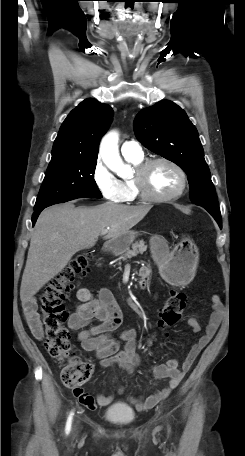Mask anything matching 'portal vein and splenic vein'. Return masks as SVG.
Returning a JSON list of instances; mask_svg holds the SVG:
<instances>
[{"instance_id":"1","label":"portal vein and splenic vein","mask_w":245,"mask_h":456,"mask_svg":"<svg viewBox=\"0 0 245 456\" xmlns=\"http://www.w3.org/2000/svg\"><path fill=\"white\" fill-rule=\"evenodd\" d=\"M108 229H109V228L104 229V230L101 232V234H102V235H105V234L108 232Z\"/></svg>"}]
</instances>
